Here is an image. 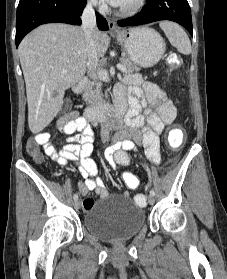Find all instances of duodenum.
Returning a JSON list of instances; mask_svg holds the SVG:
<instances>
[{"mask_svg":"<svg viewBox=\"0 0 227 279\" xmlns=\"http://www.w3.org/2000/svg\"><path fill=\"white\" fill-rule=\"evenodd\" d=\"M88 80H81L74 88L75 93H81L87 86ZM127 111L126 102L123 100H117L114 106H100L98 108H92L87 110L86 117L91 121H102L108 117L121 119L125 116Z\"/></svg>","mask_w":227,"mask_h":279,"instance_id":"410a0bca","label":"duodenum"}]
</instances>
